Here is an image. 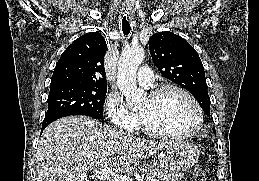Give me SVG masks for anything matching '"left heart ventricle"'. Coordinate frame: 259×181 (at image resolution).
<instances>
[{
  "label": "left heart ventricle",
  "mask_w": 259,
  "mask_h": 181,
  "mask_svg": "<svg viewBox=\"0 0 259 181\" xmlns=\"http://www.w3.org/2000/svg\"><path fill=\"white\" fill-rule=\"evenodd\" d=\"M139 112L152 127L167 132L189 131L197 121L193 105L177 91H168L156 100L148 97Z\"/></svg>",
  "instance_id": "obj_1"
}]
</instances>
